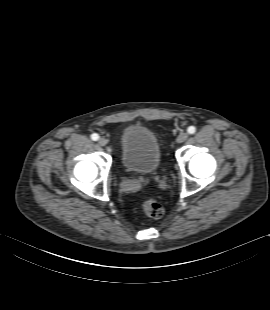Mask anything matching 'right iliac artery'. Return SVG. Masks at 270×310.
I'll return each mask as SVG.
<instances>
[{
  "label": "right iliac artery",
  "instance_id": "1",
  "mask_svg": "<svg viewBox=\"0 0 270 310\" xmlns=\"http://www.w3.org/2000/svg\"><path fill=\"white\" fill-rule=\"evenodd\" d=\"M91 139L94 140V141H97V140L99 139L98 134L93 133V134L91 135Z\"/></svg>",
  "mask_w": 270,
  "mask_h": 310
}]
</instances>
